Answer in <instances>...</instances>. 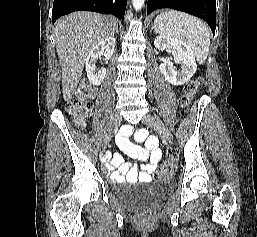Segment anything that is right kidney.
<instances>
[{
    "mask_svg": "<svg viewBox=\"0 0 257 237\" xmlns=\"http://www.w3.org/2000/svg\"><path fill=\"white\" fill-rule=\"evenodd\" d=\"M115 44H116L115 38L113 36L108 37L105 40L96 44L89 52L85 61V69H86L88 80L92 85H95V86L100 85L106 75L105 68L96 70V61L98 57H100L101 55H104L107 59L111 58V56L114 53Z\"/></svg>",
    "mask_w": 257,
    "mask_h": 237,
    "instance_id": "obj_1",
    "label": "right kidney"
}]
</instances>
